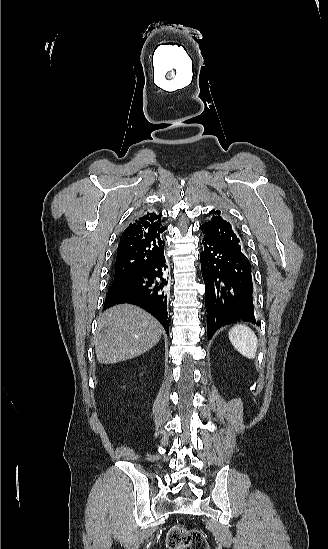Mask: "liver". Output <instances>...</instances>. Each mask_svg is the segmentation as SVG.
Returning <instances> with one entry per match:
<instances>
[{
    "label": "liver",
    "instance_id": "1",
    "mask_svg": "<svg viewBox=\"0 0 328 549\" xmlns=\"http://www.w3.org/2000/svg\"><path fill=\"white\" fill-rule=\"evenodd\" d=\"M162 327L150 313L136 305H115L98 319L94 335L99 363L111 365L143 355L159 343Z\"/></svg>",
    "mask_w": 328,
    "mask_h": 549
}]
</instances>
